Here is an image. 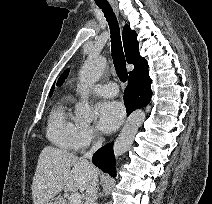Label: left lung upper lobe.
<instances>
[{"label":"left lung upper lobe","instance_id":"left-lung-upper-lobe-1","mask_svg":"<svg viewBox=\"0 0 212 204\" xmlns=\"http://www.w3.org/2000/svg\"><path fill=\"white\" fill-rule=\"evenodd\" d=\"M68 73H69V69L65 70L64 73L60 76L57 83L58 86H60L62 82L64 81V79L67 78Z\"/></svg>","mask_w":212,"mask_h":204}]
</instances>
